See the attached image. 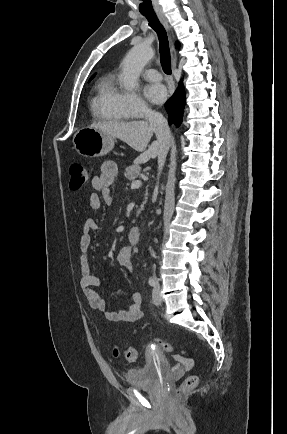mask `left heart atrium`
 <instances>
[{
  "mask_svg": "<svg viewBox=\"0 0 287 434\" xmlns=\"http://www.w3.org/2000/svg\"><path fill=\"white\" fill-rule=\"evenodd\" d=\"M144 94L147 99L154 104H160L164 102L167 96L165 87L159 83L147 85L144 88Z\"/></svg>",
  "mask_w": 287,
  "mask_h": 434,
  "instance_id": "39dd6f15",
  "label": "left heart atrium"
}]
</instances>
